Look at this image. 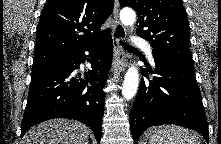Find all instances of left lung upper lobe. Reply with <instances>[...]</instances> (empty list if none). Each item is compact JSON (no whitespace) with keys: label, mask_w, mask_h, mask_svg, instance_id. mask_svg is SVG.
Here are the masks:
<instances>
[{"label":"left lung upper lobe","mask_w":221,"mask_h":144,"mask_svg":"<svg viewBox=\"0 0 221 144\" xmlns=\"http://www.w3.org/2000/svg\"><path fill=\"white\" fill-rule=\"evenodd\" d=\"M138 12L136 33L149 41L153 55L193 64L190 27L181 0H119Z\"/></svg>","instance_id":"1"}]
</instances>
